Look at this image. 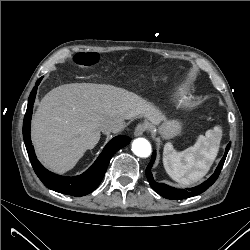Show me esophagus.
<instances>
[{
  "label": "esophagus",
  "mask_w": 250,
  "mask_h": 250,
  "mask_svg": "<svg viewBox=\"0 0 250 250\" xmlns=\"http://www.w3.org/2000/svg\"><path fill=\"white\" fill-rule=\"evenodd\" d=\"M147 130V125L144 123H140L136 126L135 131H134V135L137 136H141L143 135V133Z\"/></svg>",
  "instance_id": "34e87169"
}]
</instances>
